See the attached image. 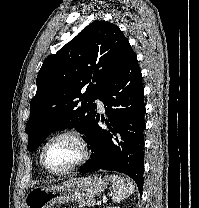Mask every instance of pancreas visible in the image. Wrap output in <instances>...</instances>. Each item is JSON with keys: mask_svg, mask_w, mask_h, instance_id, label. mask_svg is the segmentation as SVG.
I'll list each match as a JSON object with an SVG mask.
<instances>
[{"mask_svg": "<svg viewBox=\"0 0 199 208\" xmlns=\"http://www.w3.org/2000/svg\"><path fill=\"white\" fill-rule=\"evenodd\" d=\"M95 205V200H86V201H81L79 203V208H83V207H91Z\"/></svg>", "mask_w": 199, "mask_h": 208, "instance_id": "pancreas-1", "label": "pancreas"}]
</instances>
